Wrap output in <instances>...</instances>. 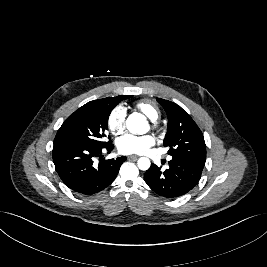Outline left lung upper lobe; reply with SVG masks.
Segmentation results:
<instances>
[{"label": "left lung upper lobe", "mask_w": 267, "mask_h": 267, "mask_svg": "<svg viewBox=\"0 0 267 267\" xmlns=\"http://www.w3.org/2000/svg\"><path fill=\"white\" fill-rule=\"evenodd\" d=\"M156 100L168 117L167 133L163 143L165 147H170L168 154L205 164L206 145L203 134L194 120L179 105L161 98Z\"/></svg>", "instance_id": "obj_1"}]
</instances>
